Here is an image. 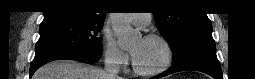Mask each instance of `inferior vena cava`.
<instances>
[{
  "mask_svg": "<svg viewBox=\"0 0 255 79\" xmlns=\"http://www.w3.org/2000/svg\"><path fill=\"white\" fill-rule=\"evenodd\" d=\"M119 62L114 54H108L105 57L104 71L107 79H116L119 73Z\"/></svg>",
  "mask_w": 255,
  "mask_h": 79,
  "instance_id": "inferior-vena-cava-1",
  "label": "inferior vena cava"
}]
</instances>
